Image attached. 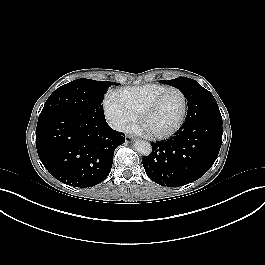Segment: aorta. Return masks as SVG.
Wrapping results in <instances>:
<instances>
[{"instance_id": "aorta-1", "label": "aorta", "mask_w": 265, "mask_h": 265, "mask_svg": "<svg viewBox=\"0 0 265 265\" xmlns=\"http://www.w3.org/2000/svg\"><path fill=\"white\" fill-rule=\"evenodd\" d=\"M135 150L143 156H149L152 153V146L144 140H136L134 143Z\"/></svg>"}]
</instances>
